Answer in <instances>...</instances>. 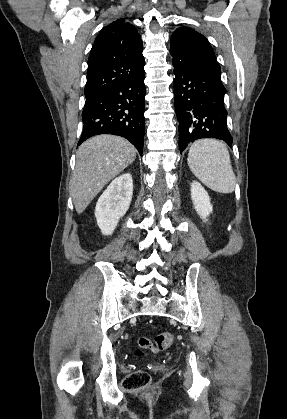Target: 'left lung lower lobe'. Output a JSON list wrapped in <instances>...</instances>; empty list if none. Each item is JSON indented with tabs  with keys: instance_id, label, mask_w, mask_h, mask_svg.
I'll return each instance as SVG.
<instances>
[{
	"instance_id": "0a47b994",
	"label": "left lung lower lobe",
	"mask_w": 287,
	"mask_h": 419,
	"mask_svg": "<svg viewBox=\"0 0 287 419\" xmlns=\"http://www.w3.org/2000/svg\"><path fill=\"white\" fill-rule=\"evenodd\" d=\"M174 103L179 122V149L201 138H216L232 145L224 107L226 90L221 72L174 69Z\"/></svg>"
}]
</instances>
